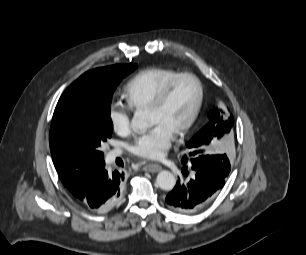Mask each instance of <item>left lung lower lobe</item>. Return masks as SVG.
I'll return each instance as SVG.
<instances>
[{"mask_svg": "<svg viewBox=\"0 0 306 255\" xmlns=\"http://www.w3.org/2000/svg\"><path fill=\"white\" fill-rule=\"evenodd\" d=\"M181 162L183 176L178 178L165 201L171 209L191 214L203 209L214 199L227 176L204 163L194 162V159L183 158ZM189 171L193 172V176L188 178Z\"/></svg>", "mask_w": 306, "mask_h": 255, "instance_id": "obj_1", "label": "left lung lower lobe"}]
</instances>
